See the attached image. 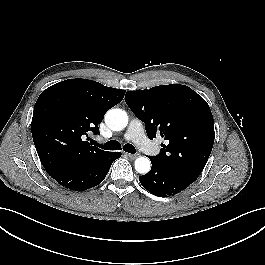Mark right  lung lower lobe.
Segmentation results:
<instances>
[{
  "instance_id": "right-lung-lower-lobe-1",
  "label": "right lung lower lobe",
  "mask_w": 265,
  "mask_h": 265,
  "mask_svg": "<svg viewBox=\"0 0 265 265\" xmlns=\"http://www.w3.org/2000/svg\"><path fill=\"white\" fill-rule=\"evenodd\" d=\"M120 156V152H110L98 161L66 168L50 176L68 189L84 191L100 184L106 177L112 162Z\"/></svg>"
}]
</instances>
